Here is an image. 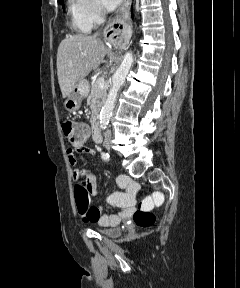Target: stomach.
I'll return each mask as SVG.
<instances>
[{"instance_id": "obj_1", "label": "stomach", "mask_w": 240, "mask_h": 288, "mask_svg": "<svg viewBox=\"0 0 240 288\" xmlns=\"http://www.w3.org/2000/svg\"><path fill=\"white\" fill-rule=\"evenodd\" d=\"M89 83L86 80L79 81L73 88L72 93L65 101V108L72 112L80 108L82 99L89 93Z\"/></svg>"}]
</instances>
